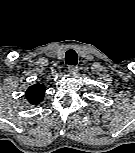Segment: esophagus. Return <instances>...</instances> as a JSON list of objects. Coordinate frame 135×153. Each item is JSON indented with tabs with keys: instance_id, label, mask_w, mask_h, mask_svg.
Returning <instances> with one entry per match:
<instances>
[{
	"instance_id": "34e87169",
	"label": "esophagus",
	"mask_w": 135,
	"mask_h": 153,
	"mask_svg": "<svg viewBox=\"0 0 135 153\" xmlns=\"http://www.w3.org/2000/svg\"><path fill=\"white\" fill-rule=\"evenodd\" d=\"M68 72L71 75H75L78 72V68L76 66H68Z\"/></svg>"
}]
</instances>
